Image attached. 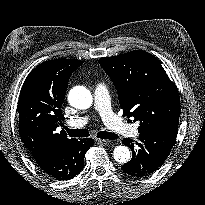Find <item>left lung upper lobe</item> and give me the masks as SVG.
I'll list each match as a JSON object with an SVG mask.
<instances>
[{
	"mask_svg": "<svg viewBox=\"0 0 205 205\" xmlns=\"http://www.w3.org/2000/svg\"><path fill=\"white\" fill-rule=\"evenodd\" d=\"M99 63L117 89L123 115L140 122L139 132L178 127L179 94L156 57L135 50Z\"/></svg>",
	"mask_w": 205,
	"mask_h": 205,
	"instance_id": "obj_1",
	"label": "left lung upper lobe"
}]
</instances>
